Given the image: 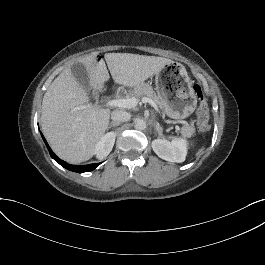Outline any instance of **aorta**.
Masks as SVG:
<instances>
[{"label":"aorta","mask_w":265,"mask_h":265,"mask_svg":"<svg viewBox=\"0 0 265 265\" xmlns=\"http://www.w3.org/2000/svg\"><path fill=\"white\" fill-rule=\"evenodd\" d=\"M146 127H147L146 122L144 120H142V119L137 120L135 122V128L137 130H144V129H146Z\"/></svg>","instance_id":"1"}]
</instances>
